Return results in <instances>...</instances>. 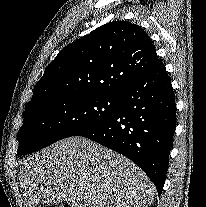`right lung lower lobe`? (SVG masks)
I'll list each match as a JSON object with an SVG mask.
<instances>
[{
	"instance_id": "1",
	"label": "right lung lower lobe",
	"mask_w": 206,
	"mask_h": 207,
	"mask_svg": "<svg viewBox=\"0 0 206 207\" xmlns=\"http://www.w3.org/2000/svg\"><path fill=\"white\" fill-rule=\"evenodd\" d=\"M120 107L79 133L135 162L162 193L176 127V104L164 64L120 93Z\"/></svg>"
}]
</instances>
